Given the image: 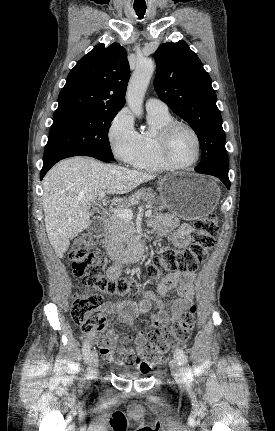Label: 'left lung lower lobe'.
Returning <instances> with one entry per match:
<instances>
[{"mask_svg": "<svg viewBox=\"0 0 275 431\" xmlns=\"http://www.w3.org/2000/svg\"><path fill=\"white\" fill-rule=\"evenodd\" d=\"M196 171V170H195ZM198 172V171H197ZM199 173H203V174H209V175H213L217 178H219L224 184L225 186L229 189L230 188V181L228 178V173H223V172H212V171H208V170H203Z\"/></svg>", "mask_w": 275, "mask_h": 431, "instance_id": "left-lung-lower-lobe-1", "label": "left lung lower lobe"}]
</instances>
